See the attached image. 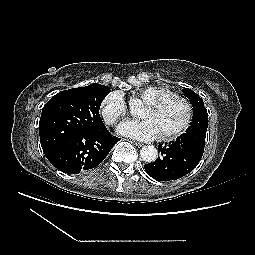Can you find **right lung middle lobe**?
I'll return each mask as SVG.
<instances>
[{
    "label": "right lung middle lobe",
    "instance_id": "right-lung-middle-lobe-1",
    "mask_svg": "<svg viewBox=\"0 0 255 255\" xmlns=\"http://www.w3.org/2000/svg\"><path fill=\"white\" fill-rule=\"evenodd\" d=\"M109 93L107 86L91 84L61 91L46 103L39 122L40 141L46 157L74 134L105 129L99 109Z\"/></svg>",
    "mask_w": 255,
    "mask_h": 255
}]
</instances>
